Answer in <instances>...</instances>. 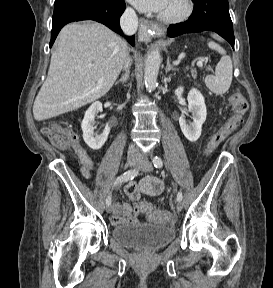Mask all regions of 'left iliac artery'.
<instances>
[{
  "mask_svg": "<svg viewBox=\"0 0 273 288\" xmlns=\"http://www.w3.org/2000/svg\"><path fill=\"white\" fill-rule=\"evenodd\" d=\"M153 164H154V166H155L156 168H161V167L163 166V161H162V159H161L160 157L155 156V157L153 158ZM182 198H183L182 192L180 191V192H178V194H177V201H182Z\"/></svg>",
  "mask_w": 273,
  "mask_h": 288,
  "instance_id": "obj_1",
  "label": "left iliac artery"
}]
</instances>
